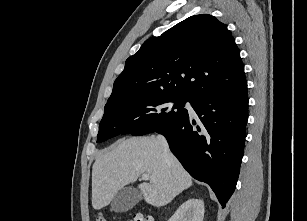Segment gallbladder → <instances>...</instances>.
<instances>
[{"label":"gallbladder","mask_w":307,"mask_h":221,"mask_svg":"<svg viewBox=\"0 0 307 221\" xmlns=\"http://www.w3.org/2000/svg\"><path fill=\"white\" fill-rule=\"evenodd\" d=\"M140 200V193L137 189L124 187L113 197L111 201V210L117 213H123L135 206Z\"/></svg>","instance_id":"gallbladder-1"}]
</instances>
